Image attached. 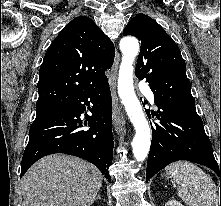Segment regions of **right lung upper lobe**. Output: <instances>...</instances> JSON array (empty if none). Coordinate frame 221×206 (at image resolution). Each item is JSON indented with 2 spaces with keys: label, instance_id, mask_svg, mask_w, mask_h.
Segmentation results:
<instances>
[{
  "label": "right lung upper lobe",
  "instance_id": "1",
  "mask_svg": "<svg viewBox=\"0 0 221 206\" xmlns=\"http://www.w3.org/2000/svg\"><path fill=\"white\" fill-rule=\"evenodd\" d=\"M114 46L86 16L68 23L48 48L39 71L36 108L58 107L104 82Z\"/></svg>",
  "mask_w": 221,
  "mask_h": 206
}]
</instances>
